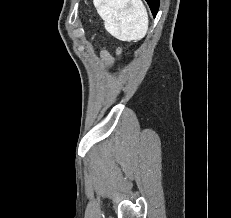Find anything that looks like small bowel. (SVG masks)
I'll list each match as a JSON object with an SVG mask.
<instances>
[{"label":"small bowel","mask_w":231,"mask_h":218,"mask_svg":"<svg viewBox=\"0 0 231 218\" xmlns=\"http://www.w3.org/2000/svg\"><path fill=\"white\" fill-rule=\"evenodd\" d=\"M102 57H103V59H104L107 63H110V62H111V57H110V55L108 54V52L103 51V52H102Z\"/></svg>","instance_id":"1"}]
</instances>
